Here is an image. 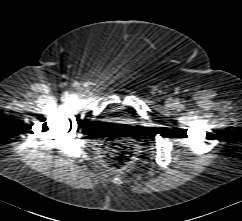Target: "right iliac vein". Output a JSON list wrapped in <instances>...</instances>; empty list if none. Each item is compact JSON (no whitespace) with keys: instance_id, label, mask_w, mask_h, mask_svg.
<instances>
[{"instance_id":"1","label":"right iliac vein","mask_w":242,"mask_h":221,"mask_svg":"<svg viewBox=\"0 0 242 221\" xmlns=\"http://www.w3.org/2000/svg\"><path fill=\"white\" fill-rule=\"evenodd\" d=\"M69 100H75V97L73 95H70Z\"/></svg>"}]
</instances>
